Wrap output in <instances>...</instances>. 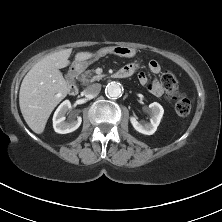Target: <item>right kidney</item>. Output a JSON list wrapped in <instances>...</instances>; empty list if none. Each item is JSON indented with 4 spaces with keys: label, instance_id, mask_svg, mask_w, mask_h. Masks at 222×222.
Listing matches in <instances>:
<instances>
[{
    "label": "right kidney",
    "instance_id": "ca27d5eb",
    "mask_svg": "<svg viewBox=\"0 0 222 222\" xmlns=\"http://www.w3.org/2000/svg\"><path fill=\"white\" fill-rule=\"evenodd\" d=\"M71 108V103L69 100L63 101L59 107L56 109L53 115V128L55 132L59 134H66L75 131L79 128L82 122V118L77 116V119H71L65 121V114Z\"/></svg>",
    "mask_w": 222,
    "mask_h": 222
}]
</instances>
